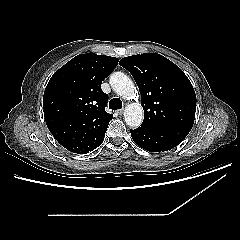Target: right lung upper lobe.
<instances>
[{"mask_svg":"<svg viewBox=\"0 0 240 240\" xmlns=\"http://www.w3.org/2000/svg\"><path fill=\"white\" fill-rule=\"evenodd\" d=\"M115 57L80 54L54 73L43 96L48 129L67 150L85 154L98 147L113 115L105 111L102 81L115 69Z\"/></svg>","mask_w":240,"mask_h":240,"instance_id":"cb5924a9","label":"right lung upper lobe"}]
</instances>
